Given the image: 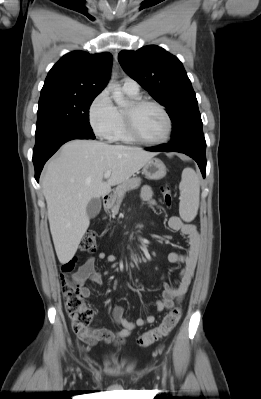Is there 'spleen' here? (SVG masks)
Returning <instances> with one entry per match:
<instances>
[{
    "instance_id": "3e777b00",
    "label": "spleen",
    "mask_w": 261,
    "mask_h": 399,
    "mask_svg": "<svg viewBox=\"0 0 261 399\" xmlns=\"http://www.w3.org/2000/svg\"><path fill=\"white\" fill-rule=\"evenodd\" d=\"M180 189V217L191 222L197 215L199 208L200 181L196 172L191 168H185L182 172Z\"/></svg>"
}]
</instances>
